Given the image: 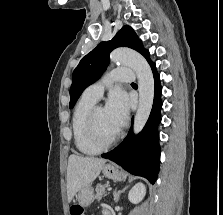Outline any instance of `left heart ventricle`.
Here are the masks:
<instances>
[{"instance_id": "left-heart-ventricle-1", "label": "left heart ventricle", "mask_w": 223, "mask_h": 215, "mask_svg": "<svg viewBox=\"0 0 223 215\" xmlns=\"http://www.w3.org/2000/svg\"><path fill=\"white\" fill-rule=\"evenodd\" d=\"M119 128L108 117L104 108H101L97 114V131L100 140L103 143L110 142L117 134Z\"/></svg>"}]
</instances>
